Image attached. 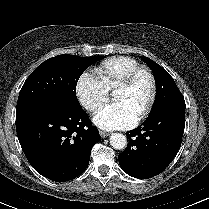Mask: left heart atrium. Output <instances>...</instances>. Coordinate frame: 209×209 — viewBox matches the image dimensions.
<instances>
[{"label": "left heart atrium", "instance_id": "obj_1", "mask_svg": "<svg viewBox=\"0 0 209 209\" xmlns=\"http://www.w3.org/2000/svg\"><path fill=\"white\" fill-rule=\"evenodd\" d=\"M138 115L124 101H117L101 109L93 118L94 123L105 130L126 129L132 127Z\"/></svg>", "mask_w": 209, "mask_h": 209}]
</instances>
